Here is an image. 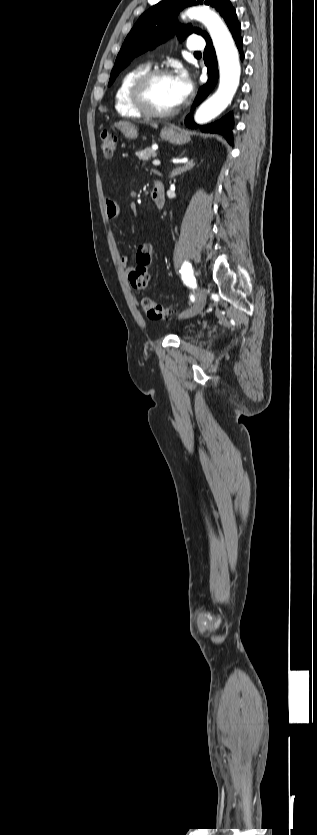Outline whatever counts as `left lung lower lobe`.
I'll use <instances>...</instances> for the list:
<instances>
[{"label": "left lung lower lobe", "mask_w": 317, "mask_h": 835, "mask_svg": "<svg viewBox=\"0 0 317 835\" xmlns=\"http://www.w3.org/2000/svg\"><path fill=\"white\" fill-rule=\"evenodd\" d=\"M227 8H229V13H228V17L225 19V22L228 25V28H229L230 32L232 33V36L235 40L237 48H238V50L241 54L240 58H241V60H243V58H244L243 51H242L243 39L240 36L241 26H240V23L238 22L235 9L233 7H231L230 4L227 5L225 10ZM206 41H207V45H206V48L204 50V62H205V65L207 66L208 81L205 85L200 87V89L198 91V94L196 96V99L194 101L193 108L196 105H198L199 103H201L209 95V93L213 90V88L215 87V85L217 83V80H218V67H217V60H216L215 50H214V47L212 46V41H211L210 37L208 39H206ZM185 125L189 128H198L199 127L201 129V131H203V132L219 133L227 139L229 144H231V145L233 144V139H232L233 117H232L231 113L227 114L226 116H224L220 120H218V121H216V122H214L210 125H206V126H198L196 123H194L193 116H192V113H191L185 118Z\"/></svg>", "instance_id": "1"}]
</instances>
